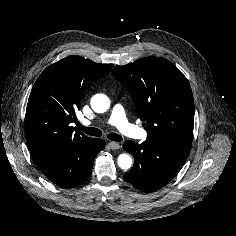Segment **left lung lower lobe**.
<instances>
[{
	"mask_svg": "<svg viewBox=\"0 0 236 236\" xmlns=\"http://www.w3.org/2000/svg\"><path fill=\"white\" fill-rule=\"evenodd\" d=\"M123 148L134 157V166L125 178L145 193L165 186L190 152V149L152 138L141 144L128 140Z\"/></svg>",
	"mask_w": 236,
	"mask_h": 236,
	"instance_id": "0a47b994",
	"label": "left lung lower lobe"
}]
</instances>
